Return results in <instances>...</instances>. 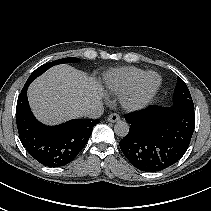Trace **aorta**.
<instances>
[{"mask_svg": "<svg viewBox=\"0 0 211 211\" xmlns=\"http://www.w3.org/2000/svg\"><path fill=\"white\" fill-rule=\"evenodd\" d=\"M114 132L120 137H124L129 132V125L126 121H118L114 126Z\"/></svg>", "mask_w": 211, "mask_h": 211, "instance_id": "obj_1", "label": "aorta"}]
</instances>
